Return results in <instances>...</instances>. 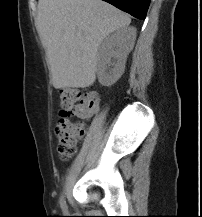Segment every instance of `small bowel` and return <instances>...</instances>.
<instances>
[{
  "instance_id": "obj_1",
  "label": "small bowel",
  "mask_w": 202,
  "mask_h": 217,
  "mask_svg": "<svg viewBox=\"0 0 202 217\" xmlns=\"http://www.w3.org/2000/svg\"><path fill=\"white\" fill-rule=\"evenodd\" d=\"M90 102L77 106L73 110L74 116L86 121L89 120L99 110V100L95 94H90Z\"/></svg>"
}]
</instances>
